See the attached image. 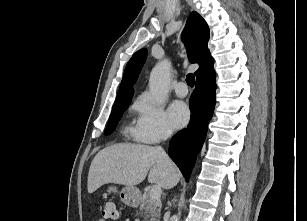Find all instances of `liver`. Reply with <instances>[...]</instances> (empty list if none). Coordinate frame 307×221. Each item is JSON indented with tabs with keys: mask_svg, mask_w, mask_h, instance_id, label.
Returning a JSON list of instances; mask_svg holds the SVG:
<instances>
[{
	"mask_svg": "<svg viewBox=\"0 0 307 221\" xmlns=\"http://www.w3.org/2000/svg\"><path fill=\"white\" fill-rule=\"evenodd\" d=\"M147 174L149 183H156L164 189H171L180 180L178 168L172 161L167 163L158 147L141 144L108 146L92 160L88 173V192L93 193L107 183L134 187Z\"/></svg>",
	"mask_w": 307,
	"mask_h": 221,
	"instance_id": "liver-1",
	"label": "liver"
}]
</instances>
